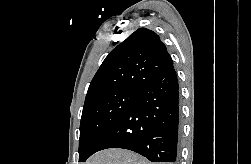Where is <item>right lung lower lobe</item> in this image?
I'll use <instances>...</instances> for the list:
<instances>
[{
  "mask_svg": "<svg viewBox=\"0 0 251 164\" xmlns=\"http://www.w3.org/2000/svg\"><path fill=\"white\" fill-rule=\"evenodd\" d=\"M180 134L179 86L171 67L139 88L137 100L102 136L91 155L123 148L151 162H175Z\"/></svg>",
  "mask_w": 251,
  "mask_h": 164,
  "instance_id": "1",
  "label": "right lung lower lobe"
}]
</instances>
